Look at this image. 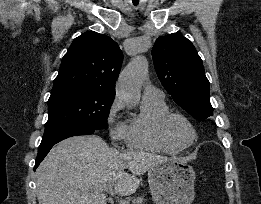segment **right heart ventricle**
<instances>
[{"mask_svg":"<svg viewBox=\"0 0 261 204\" xmlns=\"http://www.w3.org/2000/svg\"><path fill=\"white\" fill-rule=\"evenodd\" d=\"M169 112V106L164 98H143L140 113L128 121L127 145L134 150L177 153L179 150L170 145L159 130L160 120Z\"/></svg>","mask_w":261,"mask_h":204,"instance_id":"obj_1","label":"right heart ventricle"}]
</instances>
